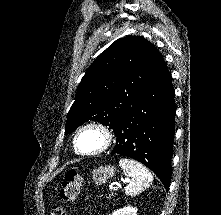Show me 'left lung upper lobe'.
I'll list each match as a JSON object with an SVG mask.
<instances>
[{
  "label": "left lung upper lobe",
  "instance_id": "5c2ea615",
  "mask_svg": "<svg viewBox=\"0 0 221 215\" xmlns=\"http://www.w3.org/2000/svg\"><path fill=\"white\" fill-rule=\"evenodd\" d=\"M163 64L160 52L143 37L116 40L83 76L68 113L65 133L88 120L114 130Z\"/></svg>",
  "mask_w": 221,
  "mask_h": 215
}]
</instances>
